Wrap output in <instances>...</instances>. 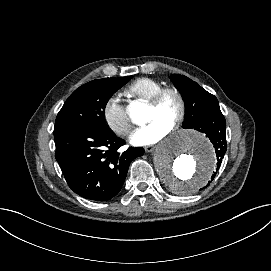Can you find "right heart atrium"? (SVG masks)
I'll list each match as a JSON object with an SVG mask.
<instances>
[{
	"mask_svg": "<svg viewBox=\"0 0 271 271\" xmlns=\"http://www.w3.org/2000/svg\"><path fill=\"white\" fill-rule=\"evenodd\" d=\"M102 115L107 126L120 137H127L133 129L120 93L112 94L105 99Z\"/></svg>",
	"mask_w": 271,
	"mask_h": 271,
	"instance_id": "obj_1",
	"label": "right heart atrium"
}]
</instances>
